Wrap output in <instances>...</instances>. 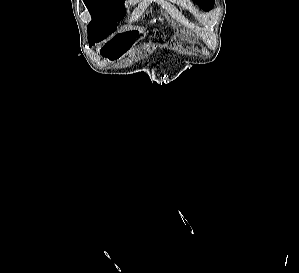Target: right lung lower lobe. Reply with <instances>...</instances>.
<instances>
[{
    "instance_id": "right-lung-lower-lobe-1",
    "label": "right lung lower lobe",
    "mask_w": 299,
    "mask_h": 273,
    "mask_svg": "<svg viewBox=\"0 0 299 273\" xmlns=\"http://www.w3.org/2000/svg\"><path fill=\"white\" fill-rule=\"evenodd\" d=\"M95 43H97V42H90V47L92 46V45H94Z\"/></svg>"
}]
</instances>
